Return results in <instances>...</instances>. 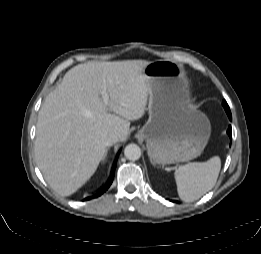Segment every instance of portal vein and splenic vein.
Instances as JSON below:
<instances>
[{"label": "portal vein and splenic vein", "mask_w": 261, "mask_h": 254, "mask_svg": "<svg viewBox=\"0 0 261 254\" xmlns=\"http://www.w3.org/2000/svg\"><path fill=\"white\" fill-rule=\"evenodd\" d=\"M102 97H103L104 101L107 103L108 95L105 91H102Z\"/></svg>", "instance_id": "1"}]
</instances>
